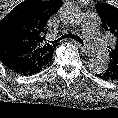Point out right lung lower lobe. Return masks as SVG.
I'll list each match as a JSON object with an SVG mask.
<instances>
[{
  "mask_svg": "<svg viewBox=\"0 0 118 118\" xmlns=\"http://www.w3.org/2000/svg\"><path fill=\"white\" fill-rule=\"evenodd\" d=\"M14 72L19 73V74H22V75H32V74L38 73V72H40V71H30V72L14 71Z\"/></svg>",
  "mask_w": 118,
  "mask_h": 118,
  "instance_id": "obj_1",
  "label": "right lung lower lobe"
}]
</instances>
